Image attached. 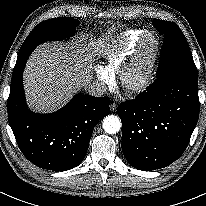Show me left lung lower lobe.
<instances>
[{"instance_id": "1", "label": "left lung lower lobe", "mask_w": 206, "mask_h": 206, "mask_svg": "<svg viewBox=\"0 0 206 206\" xmlns=\"http://www.w3.org/2000/svg\"><path fill=\"white\" fill-rule=\"evenodd\" d=\"M118 106L122 151L135 168L166 167L185 151L199 116L198 79L172 77Z\"/></svg>"}]
</instances>
